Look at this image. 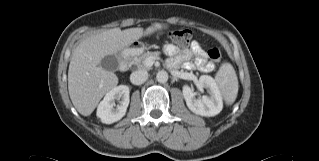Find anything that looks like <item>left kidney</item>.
Segmentation results:
<instances>
[{"instance_id":"5707ae66","label":"left kidney","mask_w":319,"mask_h":161,"mask_svg":"<svg viewBox=\"0 0 319 161\" xmlns=\"http://www.w3.org/2000/svg\"><path fill=\"white\" fill-rule=\"evenodd\" d=\"M199 87L208 88L209 96L203 95L196 99V93L187 85L183 86V96L188 108L195 114L201 116H215L223 108L221 92L215 80L208 75L199 78Z\"/></svg>"}]
</instances>
